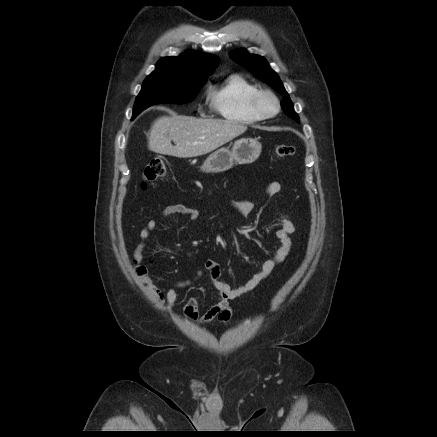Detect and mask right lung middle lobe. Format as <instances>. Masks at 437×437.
Listing matches in <instances>:
<instances>
[{"label":"right lung middle lobe","instance_id":"obj_1","mask_svg":"<svg viewBox=\"0 0 437 437\" xmlns=\"http://www.w3.org/2000/svg\"><path fill=\"white\" fill-rule=\"evenodd\" d=\"M207 79L199 81H184L182 79L166 75L151 74L143 85L136 98L133 118L147 107L159 103L184 104L190 102L206 83Z\"/></svg>","mask_w":437,"mask_h":437}]
</instances>
